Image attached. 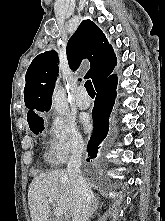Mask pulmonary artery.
<instances>
[{"mask_svg":"<svg viewBox=\"0 0 165 221\" xmlns=\"http://www.w3.org/2000/svg\"><path fill=\"white\" fill-rule=\"evenodd\" d=\"M76 104L80 109H87L90 107L91 105V100L90 98L87 96V92L86 90L81 87L78 90V95H77V99H76Z\"/></svg>","mask_w":165,"mask_h":221,"instance_id":"1","label":"pulmonary artery"}]
</instances>
